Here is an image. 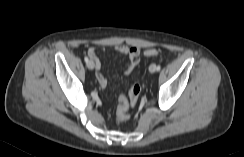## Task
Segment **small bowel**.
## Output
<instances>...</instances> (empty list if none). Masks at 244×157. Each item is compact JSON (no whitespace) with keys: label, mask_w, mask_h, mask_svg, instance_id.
I'll use <instances>...</instances> for the list:
<instances>
[{"label":"small bowel","mask_w":244,"mask_h":157,"mask_svg":"<svg viewBox=\"0 0 244 157\" xmlns=\"http://www.w3.org/2000/svg\"><path fill=\"white\" fill-rule=\"evenodd\" d=\"M99 50H100L99 48H95V47L89 48L87 51V55L94 63L97 81L102 87H105L107 85V78L101 72L102 64H101V60L97 55V52ZM114 50L118 53L129 55V62L126 68L123 70V74L129 75L130 73H132L140 61V54H141L140 48L130 47L125 44H118L114 47Z\"/></svg>","instance_id":"1"}]
</instances>
